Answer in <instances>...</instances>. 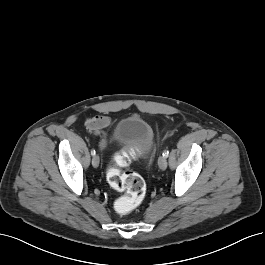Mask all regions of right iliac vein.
<instances>
[{
  "label": "right iliac vein",
  "instance_id": "obj_1",
  "mask_svg": "<svg viewBox=\"0 0 265 265\" xmlns=\"http://www.w3.org/2000/svg\"><path fill=\"white\" fill-rule=\"evenodd\" d=\"M99 162H100V159H99V156L98 155H94L93 158H92V165L93 167H98L99 166Z\"/></svg>",
  "mask_w": 265,
  "mask_h": 265
}]
</instances>
